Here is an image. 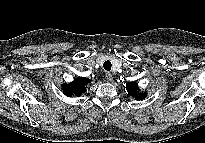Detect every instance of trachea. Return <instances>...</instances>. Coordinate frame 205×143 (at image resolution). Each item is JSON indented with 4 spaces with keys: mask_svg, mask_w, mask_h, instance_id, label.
<instances>
[{
    "mask_svg": "<svg viewBox=\"0 0 205 143\" xmlns=\"http://www.w3.org/2000/svg\"><path fill=\"white\" fill-rule=\"evenodd\" d=\"M103 67H104L105 70L110 71L111 67H112V64L109 60H107V61L104 62Z\"/></svg>",
    "mask_w": 205,
    "mask_h": 143,
    "instance_id": "trachea-1",
    "label": "trachea"
}]
</instances>
